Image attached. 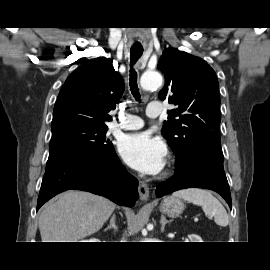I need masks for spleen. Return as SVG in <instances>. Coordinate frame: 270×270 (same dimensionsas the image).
<instances>
[{"mask_svg": "<svg viewBox=\"0 0 270 270\" xmlns=\"http://www.w3.org/2000/svg\"><path fill=\"white\" fill-rule=\"evenodd\" d=\"M173 197L181 198L185 201L201 206L204 213L214 216V221L221 227H226L229 223L227 212L223 205L207 190L199 188H189L173 193Z\"/></svg>", "mask_w": 270, "mask_h": 270, "instance_id": "spleen-1", "label": "spleen"}]
</instances>
